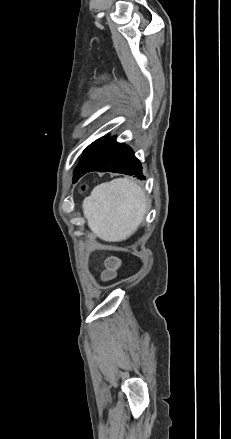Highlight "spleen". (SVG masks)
Segmentation results:
<instances>
[{
	"mask_svg": "<svg viewBox=\"0 0 231 439\" xmlns=\"http://www.w3.org/2000/svg\"><path fill=\"white\" fill-rule=\"evenodd\" d=\"M88 226L105 241H121L135 232L146 212L143 190L127 178L97 185L83 202Z\"/></svg>",
	"mask_w": 231,
	"mask_h": 439,
	"instance_id": "1",
	"label": "spleen"
}]
</instances>
